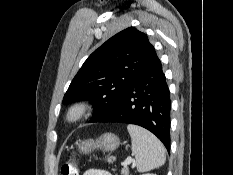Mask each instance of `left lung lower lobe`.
Listing matches in <instances>:
<instances>
[{"mask_svg": "<svg viewBox=\"0 0 233 175\" xmlns=\"http://www.w3.org/2000/svg\"><path fill=\"white\" fill-rule=\"evenodd\" d=\"M170 92L155 53L128 86L116 106L97 122H119L142 126L170 149Z\"/></svg>", "mask_w": 233, "mask_h": 175, "instance_id": "1", "label": "left lung lower lobe"}]
</instances>
